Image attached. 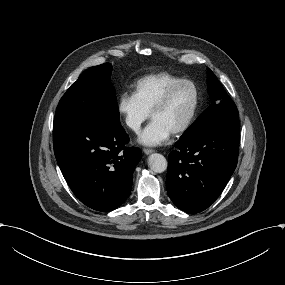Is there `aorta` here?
Returning a JSON list of instances; mask_svg holds the SVG:
<instances>
[{
    "instance_id": "obj_1",
    "label": "aorta",
    "mask_w": 285,
    "mask_h": 285,
    "mask_svg": "<svg viewBox=\"0 0 285 285\" xmlns=\"http://www.w3.org/2000/svg\"><path fill=\"white\" fill-rule=\"evenodd\" d=\"M148 164L150 169L156 173H162L167 169L166 158L158 153H154L149 156Z\"/></svg>"
}]
</instances>
